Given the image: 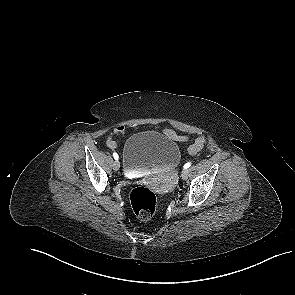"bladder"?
I'll return each instance as SVG.
<instances>
[{
	"instance_id": "1",
	"label": "bladder",
	"mask_w": 295,
	"mask_h": 295,
	"mask_svg": "<svg viewBox=\"0 0 295 295\" xmlns=\"http://www.w3.org/2000/svg\"><path fill=\"white\" fill-rule=\"evenodd\" d=\"M122 163L127 176L175 169L181 160L177 143L157 131L132 135L124 144Z\"/></svg>"
}]
</instances>
